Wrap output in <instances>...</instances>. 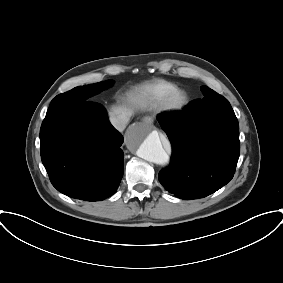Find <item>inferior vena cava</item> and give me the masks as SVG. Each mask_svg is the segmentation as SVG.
Here are the masks:
<instances>
[{"mask_svg": "<svg viewBox=\"0 0 283 283\" xmlns=\"http://www.w3.org/2000/svg\"><path fill=\"white\" fill-rule=\"evenodd\" d=\"M131 115L128 113L114 116L110 118L111 124L120 132H122L130 120Z\"/></svg>", "mask_w": 283, "mask_h": 283, "instance_id": "602c4592", "label": "inferior vena cava"}]
</instances>
